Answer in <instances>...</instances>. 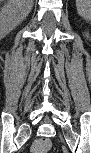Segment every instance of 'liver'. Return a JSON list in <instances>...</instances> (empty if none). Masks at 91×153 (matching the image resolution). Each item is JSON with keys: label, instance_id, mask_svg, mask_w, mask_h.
Segmentation results:
<instances>
[{"label": "liver", "instance_id": "1", "mask_svg": "<svg viewBox=\"0 0 91 153\" xmlns=\"http://www.w3.org/2000/svg\"><path fill=\"white\" fill-rule=\"evenodd\" d=\"M23 3L28 4L32 8V5H33L32 0H23Z\"/></svg>", "mask_w": 91, "mask_h": 153}]
</instances>
